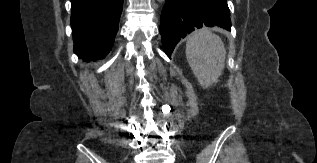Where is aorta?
Listing matches in <instances>:
<instances>
[{"label": "aorta", "mask_w": 317, "mask_h": 163, "mask_svg": "<svg viewBox=\"0 0 317 163\" xmlns=\"http://www.w3.org/2000/svg\"><path fill=\"white\" fill-rule=\"evenodd\" d=\"M159 3H164L165 2V0H157Z\"/></svg>", "instance_id": "obj_1"}]
</instances>
